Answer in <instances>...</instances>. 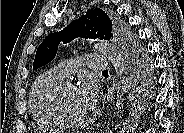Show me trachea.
Wrapping results in <instances>:
<instances>
[{
    "instance_id": "trachea-1",
    "label": "trachea",
    "mask_w": 184,
    "mask_h": 133,
    "mask_svg": "<svg viewBox=\"0 0 184 133\" xmlns=\"http://www.w3.org/2000/svg\"><path fill=\"white\" fill-rule=\"evenodd\" d=\"M103 72H108V70H104Z\"/></svg>"
}]
</instances>
